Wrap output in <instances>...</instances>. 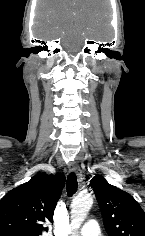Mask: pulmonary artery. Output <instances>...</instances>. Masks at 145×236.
<instances>
[{
  "label": "pulmonary artery",
  "instance_id": "1",
  "mask_svg": "<svg viewBox=\"0 0 145 236\" xmlns=\"http://www.w3.org/2000/svg\"><path fill=\"white\" fill-rule=\"evenodd\" d=\"M79 233L81 236H101L100 227L97 221L90 220L84 225Z\"/></svg>",
  "mask_w": 145,
  "mask_h": 236
}]
</instances>
